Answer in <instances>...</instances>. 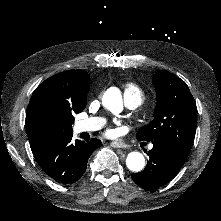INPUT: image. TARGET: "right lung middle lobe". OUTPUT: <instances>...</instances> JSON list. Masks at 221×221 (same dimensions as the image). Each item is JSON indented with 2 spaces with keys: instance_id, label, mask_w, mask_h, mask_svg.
<instances>
[{
  "instance_id": "right-lung-middle-lobe-1",
  "label": "right lung middle lobe",
  "mask_w": 221,
  "mask_h": 221,
  "mask_svg": "<svg viewBox=\"0 0 221 221\" xmlns=\"http://www.w3.org/2000/svg\"><path fill=\"white\" fill-rule=\"evenodd\" d=\"M74 113L78 112L50 102H39L34 107L35 132L47 144L61 141L73 134Z\"/></svg>"
}]
</instances>
